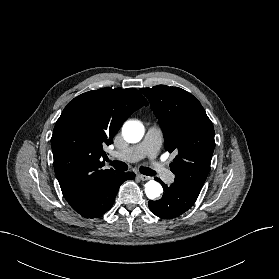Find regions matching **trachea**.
<instances>
[{"label":"trachea","instance_id":"1","mask_svg":"<svg viewBox=\"0 0 279 279\" xmlns=\"http://www.w3.org/2000/svg\"><path fill=\"white\" fill-rule=\"evenodd\" d=\"M110 164L116 170H119V171H126L128 169L127 164H125L124 162H121V161H112ZM139 170L142 174L147 175V176H155L156 175V172L153 171L152 169L148 168V167H140Z\"/></svg>","mask_w":279,"mask_h":279}]
</instances>
